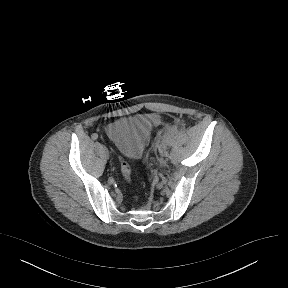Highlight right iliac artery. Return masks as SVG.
I'll return each instance as SVG.
<instances>
[{
    "label": "right iliac artery",
    "mask_w": 288,
    "mask_h": 288,
    "mask_svg": "<svg viewBox=\"0 0 288 288\" xmlns=\"http://www.w3.org/2000/svg\"><path fill=\"white\" fill-rule=\"evenodd\" d=\"M91 137H92L93 140H96L98 138V135L96 133H94V134H92Z\"/></svg>",
    "instance_id": "right-iliac-artery-1"
}]
</instances>
